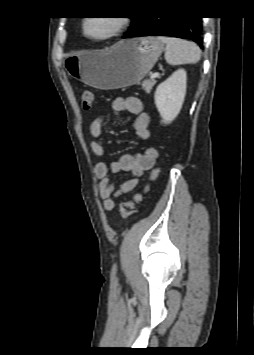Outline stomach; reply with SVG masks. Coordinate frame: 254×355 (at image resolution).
<instances>
[{
  "instance_id": "stomach-1",
  "label": "stomach",
  "mask_w": 254,
  "mask_h": 355,
  "mask_svg": "<svg viewBox=\"0 0 254 355\" xmlns=\"http://www.w3.org/2000/svg\"><path fill=\"white\" fill-rule=\"evenodd\" d=\"M164 49L159 38L136 37L122 40L103 51L69 54L64 68L73 78L99 89L131 86L152 69Z\"/></svg>"
}]
</instances>
